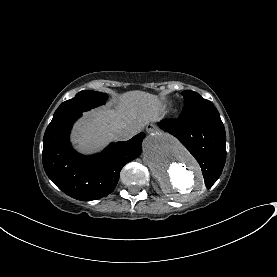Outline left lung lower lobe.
<instances>
[{
  "mask_svg": "<svg viewBox=\"0 0 277 277\" xmlns=\"http://www.w3.org/2000/svg\"><path fill=\"white\" fill-rule=\"evenodd\" d=\"M159 127L190 151L202 169L206 187L210 188L221 175L226 160V134L221 119H165Z\"/></svg>",
  "mask_w": 277,
  "mask_h": 277,
  "instance_id": "1",
  "label": "left lung lower lobe"
}]
</instances>
